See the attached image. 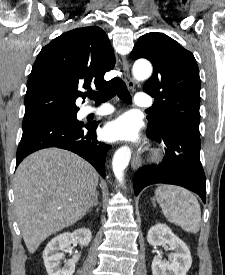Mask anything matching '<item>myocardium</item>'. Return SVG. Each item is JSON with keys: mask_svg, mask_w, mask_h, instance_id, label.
I'll return each mask as SVG.
<instances>
[{"mask_svg": "<svg viewBox=\"0 0 225 275\" xmlns=\"http://www.w3.org/2000/svg\"><path fill=\"white\" fill-rule=\"evenodd\" d=\"M154 159H158L160 157V153L159 152H155L153 155Z\"/></svg>", "mask_w": 225, "mask_h": 275, "instance_id": "obj_1", "label": "myocardium"}]
</instances>
